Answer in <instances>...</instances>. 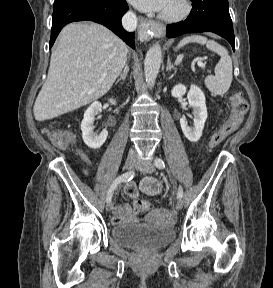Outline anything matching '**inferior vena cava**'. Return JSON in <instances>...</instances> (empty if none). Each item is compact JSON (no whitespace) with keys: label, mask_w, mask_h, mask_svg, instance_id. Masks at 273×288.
I'll list each match as a JSON object with an SVG mask.
<instances>
[{"label":"inferior vena cava","mask_w":273,"mask_h":288,"mask_svg":"<svg viewBox=\"0 0 273 288\" xmlns=\"http://www.w3.org/2000/svg\"><path fill=\"white\" fill-rule=\"evenodd\" d=\"M122 25L127 31H134L137 27V18L132 11H128L122 18Z\"/></svg>","instance_id":"obj_1"}]
</instances>
